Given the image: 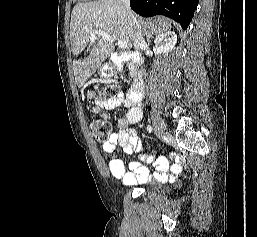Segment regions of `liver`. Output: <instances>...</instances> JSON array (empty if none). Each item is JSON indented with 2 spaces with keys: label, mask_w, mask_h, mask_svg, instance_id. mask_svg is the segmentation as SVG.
<instances>
[{
  "label": "liver",
  "mask_w": 257,
  "mask_h": 237,
  "mask_svg": "<svg viewBox=\"0 0 257 237\" xmlns=\"http://www.w3.org/2000/svg\"><path fill=\"white\" fill-rule=\"evenodd\" d=\"M134 17L138 24L137 28L127 21L120 0L80 2L74 6L71 14L70 41L75 57L73 62L75 81L79 88L114 51L113 42L96 36L95 42H91L89 55L81 59L80 55L89 44L92 31H105L114 40H122L132 48L137 29L141 31L142 36L146 37L161 35L171 29L169 20L164 17L154 19H143L137 15Z\"/></svg>",
  "instance_id": "liver-1"
}]
</instances>
